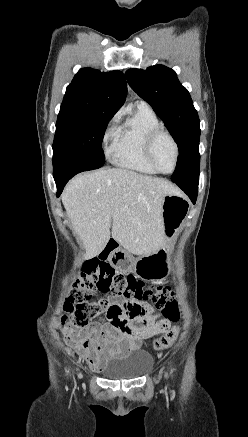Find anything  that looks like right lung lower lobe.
I'll return each mask as SVG.
<instances>
[{
	"instance_id": "obj_1",
	"label": "right lung lower lobe",
	"mask_w": 248,
	"mask_h": 437,
	"mask_svg": "<svg viewBox=\"0 0 248 437\" xmlns=\"http://www.w3.org/2000/svg\"><path fill=\"white\" fill-rule=\"evenodd\" d=\"M94 166H90L84 163H65L54 167V179L57 185V197L61 194L65 184L76 174L93 170Z\"/></svg>"
}]
</instances>
